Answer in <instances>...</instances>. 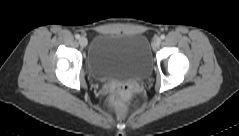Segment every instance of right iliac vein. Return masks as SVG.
<instances>
[{
	"label": "right iliac vein",
	"instance_id": "63e3f726",
	"mask_svg": "<svg viewBox=\"0 0 239 136\" xmlns=\"http://www.w3.org/2000/svg\"><path fill=\"white\" fill-rule=\"evenodd\" d=\"M79 44H80L82 47H85V46L88 44L87 38L81 37V38L79 39Z\"/></svg>",
	"mask_w": 239,
	"mask_h": 136
}]
</instances>
